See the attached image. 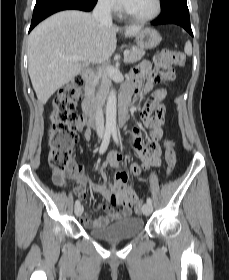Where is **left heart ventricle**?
Here are the masks:
<instances>
[{
	"instance_id": "obj_1",
	"label": "left heart ventricle",
	"mask_w": 229,
	"mask_h": 280,
	"mask_svg": "<svg viewBox=\"0 0 229 280\" xmlns=\"http://www.w3.org/2000/svg\"><path fill=\"white\" fill-rule=\"evenodd\" d=\"M126 10L135 15H145L154 8V0H130Z\"/></svg>"
}]
</instances>
